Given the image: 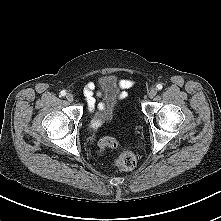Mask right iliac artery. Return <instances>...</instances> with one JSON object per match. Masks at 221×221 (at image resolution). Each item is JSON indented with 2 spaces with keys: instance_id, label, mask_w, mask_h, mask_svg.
I'll return each instance as SVG.
<instances>
[{
  "instance_id": "obj_1",
  "label": "right iliac artery",
  "mask_w": 221,
  "mask_h": 221,
  "mask_svg": "<svg viewBox=\"0 0 221 221\" xmlns=\"http://www.w3.org/2000/svg\"><path fill=\"white\" fill-rule=\"evenodd\" d=\"M61 96H65L66 95V92H65V90H63V91H61Z\"/></svg>"
}]
</instances>
